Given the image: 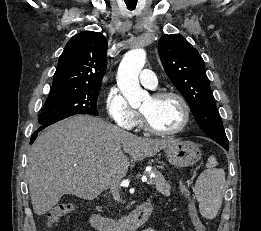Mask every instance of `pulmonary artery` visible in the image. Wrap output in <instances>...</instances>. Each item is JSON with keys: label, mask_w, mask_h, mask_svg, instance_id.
Returning <instances> with one entry per match:
<instances>
[{"label": "pulmonary artery", "mask_w": 261, "mask_h": 231, "mask_svg": "<svg viewBox=\"0 0 261 231\" xmlns=\"http://www.w3.org/2000/svg\"><path fill=\"white\" fill-rule=\"evenodd\" d=\"M140 81L143 86L149 89H156L157 79L155 73L150 69H143L140 75Z\"/></svg>", "instance_id": "obj_1"}]
</instances>
